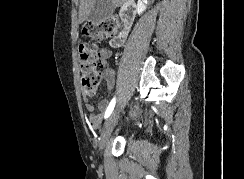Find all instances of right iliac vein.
<instances>
[{"label": "right iliac vein", "mask_w": 244, "mask_h": 179, "mask_svg": "<svg viewBox=\"0 0 244 179\" xmlns=\"http://www.w3.org/2000/svg\"><path fill=\"white\" fill-rule=\"evenodd\" d=\"M116 119H117V110H114L104 124L101 137H100V144H99L100 152L103 151L105 145L107 144V141L110 138L111 132L116 123Z\"/></svg>", "instance_id": "obj_1"}]
</instances>
